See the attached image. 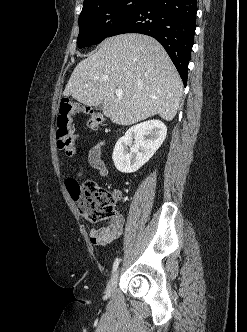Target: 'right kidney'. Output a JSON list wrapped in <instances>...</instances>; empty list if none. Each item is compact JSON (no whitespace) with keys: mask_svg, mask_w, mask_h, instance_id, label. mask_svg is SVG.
<instances>
[{"mask_svg":"<svg viewBox=\"0 0 247 332\" xmlns=\"http://www.w3.org/2000/svg\"><path fill=\"white\" fill-rule=\"evenodd\" d=\"M166 134L167 128L159 120H148L132 126L114 147L112 159L116 169L122 173L136 172L159 149Z\"/></svg>","mask_w":247,"mask_h":332,"instance_id":"1","label":"right kidney"}]
</instances>
